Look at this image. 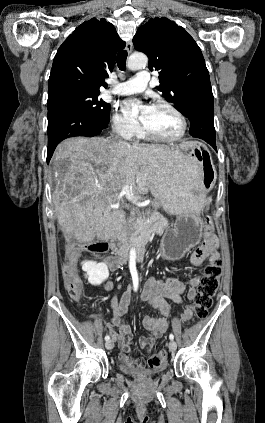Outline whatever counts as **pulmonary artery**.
Listing matches in <instances>:
<instances>
[{
	"instance_id": "1",
	"label": "pulmonary artery",
	"mask_w": 265,
	"mask_h": 423,
	"mask_svg": "<svg viewBox=\"0 0 265 423\" xmlns=\"http://www.w3.org/2000/svg\"><path fill=\"white\" fill-rule=\"evenodd\" d=\"M150 81L147 70H140L134 78L122 81L114 85L110 92L118 95H129L142 92Z\"/></svg>"
}]
</instances>
